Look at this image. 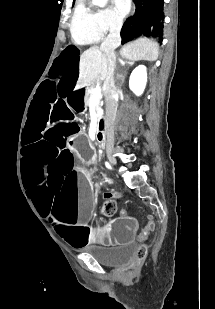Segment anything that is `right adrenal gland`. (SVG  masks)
<instances>
[{
  "label": "right adrenal gland",
  "mask_w": 215,
  "mask_h": 309,
  "mask_svg": "<svg viewBox=\"0 0 215 309\" xmlns=\"http://www.w3.org/2000/svg\"><path fill=\"white\" fill-rule=\"evenodd\" d=\"M119 62H120V64H122V66H124V64H126L127 60H123V58H119ZM128 64H134L133 60H132V62H128Z\"/></svg>",
  "instance_id": "obj_1"
}]
</instances>
